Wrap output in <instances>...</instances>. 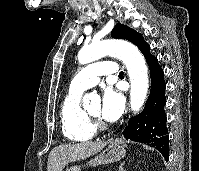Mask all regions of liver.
Listing matches in <instances>:
<instances>
[{"label":"liver","instance_id":"liver-1","mask_svg":"<svg viewBox=\"0 0 199 171\" xmlns=\"http://www.w3.org/2000/svg\"><path fill=\"white\" fill-rule=\"evenodd\" d=\"M106 144L107 142L99 141L57 146L49 154L47 171H62L68 163L90 157L101 151Z\"/></svg>","mask_w":199,"mask_h":171}]
</instances>
